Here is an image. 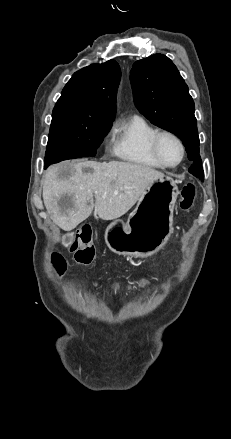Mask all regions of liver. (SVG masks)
Listing matches in <instances>:
<instances>
[{"label":"liver","mask_w":231,"mask_h":439,"mask_svg":"<svg viewBox=\"0 0 231 439\" xmlns=\"http://www.w3.org/2000/svg\"><path fill=\"white\" fill-rule=\"evenodd\" d=\"M164 174L120 162H63L44 175L43 201L53 222L71 231L95 212L102 220L126 214L148 186Z\"/></svg>","instance_id":"6515ba94"}]
</instances>
